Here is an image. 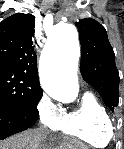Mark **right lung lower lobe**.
<instances>
[{
  "instance_id": "1",
  "label": "right lung lower lobe",
  "mask_w": 124,
  "mask_h": 149,
  "mask_svg": "<svg viewBox=\"0 0 124 149\" xmlns=\"http://www.w3.org/2000/svg\"><path fill=\"white\" fill-rule=\"evenodd\" d=\"M38 114L25 108L0 104V140L32 127Z\"/></svg>"
}]
</instances>
